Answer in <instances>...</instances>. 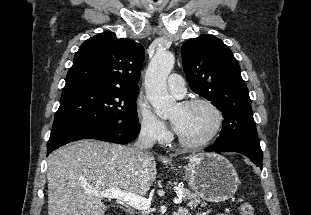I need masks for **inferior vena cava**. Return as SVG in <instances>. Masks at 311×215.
<instances>
[{
    "instance_id": "602c4592",
    "label": "inferior vena cava",
    "mask_w": 311,
    "mask_h": 215,
    "mask_svg": "<svg viewBox=\"0 0 311 215\" xmlns=\"http://www.w3.org/2000/svg\"><path fill=\"white\" fill-rule=\"evenodd\" d=\"M156 140V132L149 126H143L138 139L133 146L134 154H143L153 147Z\"/></svg>"
}]
</instances>
